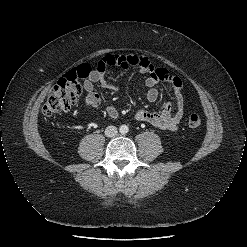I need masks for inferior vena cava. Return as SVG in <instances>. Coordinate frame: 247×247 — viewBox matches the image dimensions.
I'll list each match as a JSON object with an SVG mask.
<instances>
[{
    "label": "inferior vena cava",
    "instance_id": "obj_1",
    "mask_svg": "<svg viewBox=\"0 0 247 247\" xmlns=\"http://www.w3.org/2000/svg\"><path fill=\"white\" fill-rule=\"evenodd\" d=\"M117 134V128L115 126H108L105 129V135L107 137H114Z\"/></svg>",
    "mask_w": 247,
    "mask_h": 247
}]
</instances>
